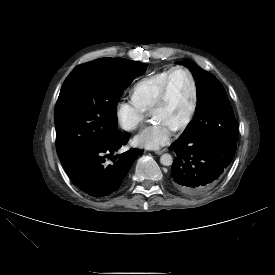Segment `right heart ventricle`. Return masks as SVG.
Segmentation results:
<instances>
[{"instance_id": "e07e8e85", "label": "right heart ventricle", "mask_w": 275, "mask_h": 275, "mask_svg": "<svg viewBox=\"0 0 275 275\" xmlns=\"http://www.w3.org/2000/svg\"><path fill=\"white\" fill-rule=\"evenodd\" d=\"M169 71L164 69L137 81L131 90L132 101L144 111L151 110Z\"/></svg>"}]
</instances>
